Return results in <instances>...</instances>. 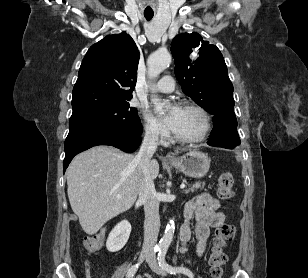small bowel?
Segmentation results:
<instances>
[{"label":"small bowel","mask_w":308,"mask_h":278,"mask_svg":"<svg viewBox=\"0 0 308 278\" xmlns=\"http://www.w3.org/2000/svg\"><path fill=\"white\" fill-rule=\"evenodd\" d=\"M219 207V201L208 193L200 194L187 202L184 209L185 221L180 228L181 253L187 250V244L192 236L190 221L194 219L196 254L198 257L204 254L210 229L219 227L224 222V215L219 211Z\"/></svg>","instance_id":"1"}]
</instances>
